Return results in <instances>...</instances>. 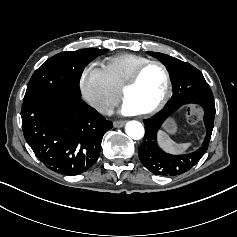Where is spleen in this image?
Returning <instances> with one entry per match:
<instances>
[{
	"label": "spleen",
	"mask_w": 237,
	"mask_h": 237,
	"mask_svg": "<svg viewBox=\"0 0 237 237\" xmlns=\"http://www.w3.org/2000/svg\"><path fill=\"white\" fill-rule=\"evenodd\" d=\"M160 142L162 146L173 153H179L184 151L187 147L188 144H178L174 142L166 133L161 132L160 133Z\"/></svg>",
	"instance_id": "obj_1"
}]
</instances>
